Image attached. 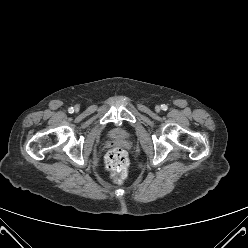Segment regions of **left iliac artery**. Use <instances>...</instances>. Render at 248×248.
Listing matches in <instances>:
<instances>
[{"label": "left iliac artery", "mask_w": 248, "mask_h": 248, "mask_svg": "<svg viewBox=\"0 0 248 248\" xmlns=\"http://www.w3.org/2000/svg\"><path fill=\"white\" fill-rule=\"evenodd\" d=\"M161 108H162V110H164V111H166V110L168 109L167 105H165V104L162 105Z\"/></svg>", "instance_id": "left-iliac-artery-1"}]
</instances>
